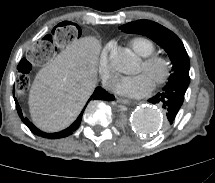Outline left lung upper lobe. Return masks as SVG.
<instances>
[{
	"label": "left lung upper lobe",
	"mask_w": 215,
	"mask_h": 183,
	"mask_svg": "<svg viewBox=\"0 0 215 183\" xmlns=\"http://www.w3.org/2000/svg\"><path fill=\"white\" fill-rule=\"evenodd\" d=\"M120 29L126 33L148 36L168 54L172 69L168 82L177 81L189 85L190 62L182 41L169 29L149 20H138L122 25Z\"/></svg>",
	"instance_id": "left-lung-upper-lobe-1"
}]
</instances>
